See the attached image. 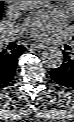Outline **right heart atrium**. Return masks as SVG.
<instances>
[{"label":"right heart atrium","instance_id":"obj_1","mask_svg":"<svg viewBox=\"0 0 74 122\" xmlns=\"http://www.w3.org/2000/svg\"><path fill=\"white\" fill-rule=\"evenodd\" d=\"M6 3H7L8 5H13V4L15 3V1H6Z\"/></svg>","mask_w":74,"mask_h":122}]
</instances>
